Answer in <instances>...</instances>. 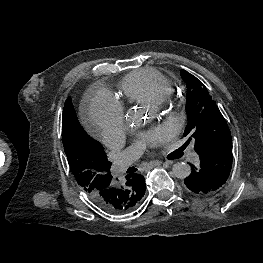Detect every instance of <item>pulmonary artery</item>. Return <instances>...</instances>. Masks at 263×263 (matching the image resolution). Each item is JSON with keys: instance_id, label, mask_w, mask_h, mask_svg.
<instances>
[{"instance_id": "1", "label": "pulmonary artery", "mask_w": 263, "mask_h": 263, "mask_svg": "<svg viewBox=\"0 0 263 263\" xmlns=\"http://www.w3.org/2000/svg\"><path fill=\"white\" fill-rule=\"evenodd\" d=\"M140 153V148L133 147L120 154L113 166L114 174L116 176L122 174L139 157ZM188 159L191 162H196L198 154L194 150H191L188 154Z\"/></svg>"}]
</instances>
